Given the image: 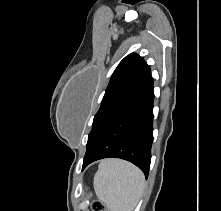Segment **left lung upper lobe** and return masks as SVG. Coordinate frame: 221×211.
<instances>
[{"mask_svg":"<svg viewBox=\"0 0 221 211\" xmlns=\"http://www.w3.org/2000/svg\"><path fill=\"white\" fill-rule=\"evenodd\" d=\"M150 75L149 65L137 54H129L119 63L110 79L100 109L94 117L86 152L115 116L136 97Z\"/></svg>","mask_w":221,"mask_h":211,"instance_id":"5c2ea615","label":"left lung upper lobe"}]
</instances>
